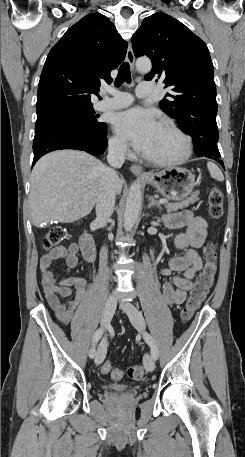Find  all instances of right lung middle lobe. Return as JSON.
I'll return each mask as SVG.
<instances>
[{"label": "right lung middle lobe", "instance_id": "1", "mask_svg": "<svg viewBox=\"0 0 245 457\" xmlns=\"http://www.w3.org/2000/svg\"><path fill=\"white\" fill-rule=\"evenodd\" d=\"M91 101L69 100L59 103L55 108L37 112L35 129L40 127L68 123L84 126L90 132L98 131L104 124L97 121Z\"/></svg>", "mask_w": 245, "mask_h": 457}]
</instances>
